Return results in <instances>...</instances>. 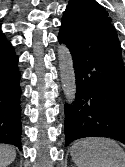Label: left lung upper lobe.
<instances>
[{
    "label": "left lung upper lobe",
    "instance_id": "left-lung-upper-lobe-1",
    "mask_svg": "<svg viewBox=\"0 0 125 167\" xmlns=\"http://www.w3.org/2000/svg\"><path fill=\"white\" fill-rule=\"evenodd\" d=\"M108 12L95 0H70L64 12L62 22L94 26L100 23H110Z\"/></svg>",
    "mask_w": 125,
    "mask_h": 167
}]
</instances>
